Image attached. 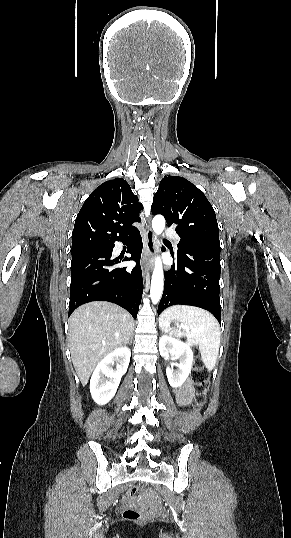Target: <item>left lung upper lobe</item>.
<instances>
[{"label": "left lung upper lobe", "mask_w": 291, "mask_h": 538, "mask_svg": "<svg viewBox=\"0 0 291 538\" xmlns=\"http://www.w3.org/2000/svg\"><path fill=\"white\" fill-rule=\"evenodd\" d=\"M151 211L162 214L180 236L177 253L188 246L220 248L215 211L206 196L187 179L165 176L154 194Z\"/></svg>", "instance_id": "left-lung-upper-lobe-1"}]
</instances>
